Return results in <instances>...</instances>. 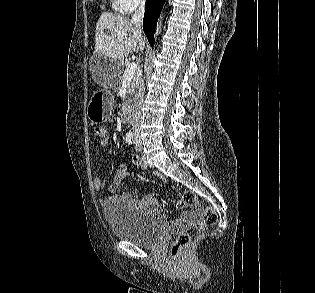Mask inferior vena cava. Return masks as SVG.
I'll return each mask as SVG.
<instances>
[{
    "instance_id": "1",
    "label": "inferior vena cava",
    "mask_w": 315,
    "mask_h": 293,
    "mask_svg": "<svg viewBox=\"0 0 315 293\" xmlns=\"http://www.w3.org/2000/svg\"><path fill=\"white\" fill-rule=\"evenodd\" d=\"M145 4L144 0L140 2L138 9L134 12L132 16V23L134 27L141 33V26L144 17ZM144 47H140V50L143 51ZM144 80L140 75L134 81V100H133V110H132V129L135 135L139 133V122L141 118V104L144 97Z\"/></svg>"
}]
</instances>
